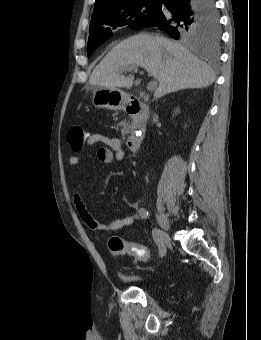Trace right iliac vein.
<instances>
[{
  "label": "right iliac vein",
  "instance_id": "right-iliac-vein-1",
  "mask_svg": "<svg viewBox=\"0 0 261 340\" xmlns=\"http://www.w3.org/2000/svg\"><path fill=\"white\" fill-rule=\"evenodd\" d=\"M155 215H156L159 226L164 231L163 239L166 243H169L170 237L167 233L168 230L170 229L169 220H168L166 214L160 208H155Z\"/></svg>",
  "mask_w": 261,
  "mask_h": 340
}]
</instances>
